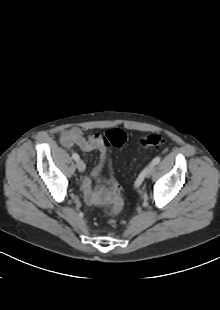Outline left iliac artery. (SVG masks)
Returning <instances> with one entry per match:
<instances>
[{
	"instance_id": "obj_1",
	"label": "left iliac artery",
	"mask_w": 220,
	"mask_h": 310,
	"mask_svg": "<svg viewBox=\"0 0 220 310\" xmlns=\"http://www.w3.org/2000/svg\"><path fill=\"white\" fill-rule=\"evenodd\" d=\"M161 158L159 156L155 157L152 162L150 163V165L145 168L141 173L140 175L138 176V178L136 179L135 183H134V186L135 188H138L142 182H143V179H144V176H145V173L147 172V170L150 168V167H153L155 165H157L159 162H160Z\"/></svg>"
}]
</instances>
